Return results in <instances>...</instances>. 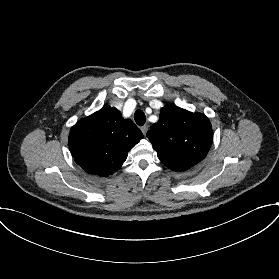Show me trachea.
<instances>
[{
    "instance_id": "1",
    "label": "trachea",
    "mask_w": 279,
    "mask_h": 279,
    "mask_svg": "<svg viewBox=\"0 0 279 279\" xmlns=\"http://www.w3.org/2000/svg\"><path fill=\"white\" fill-rule=\"evenodd\" d=\"M134 119H135V122H136L139 126H143L144 123L146 122V116H145L144 112L141 111V110L135 111Z\"/></svg>"
}]
</instances>
